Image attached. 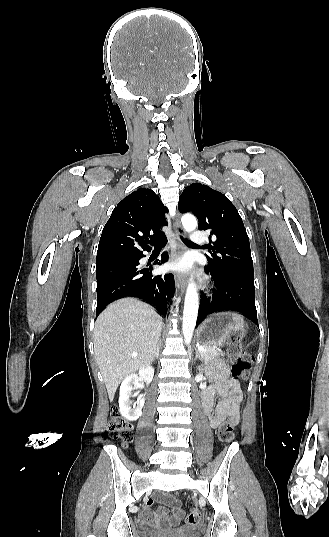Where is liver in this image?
I'll return each instance as SVG.
<instances>
[{"label": "liver", "mask_w": 329, "mask_h": 537, "mask_svg": "<svg viewBox=\"0 0 329 537\" xmlns=\"http://www.w3.org/2000/svg\"><path fill=\"white\" fill-rule=\"evenodd\" d=\"M161 325L156 311L135 298L118 300L98 316L94 350L110 401L122 379L150 365Z\"/></svg>", "instance_id": "1"}]
</instances>
